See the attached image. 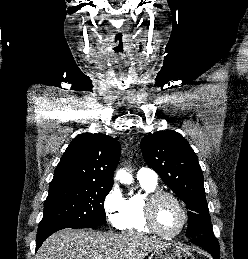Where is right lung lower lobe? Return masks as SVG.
I'll return each mask as SVG.
<instances>
[{
  "label": "right lung lower lobe",
  "mask_w": 248,
  "mask_h": 259,
  "mask_svg": "<svg viewBox=\"0 0 248 259\" xmlns=\"http://www.w3.org/2000/svg\"><path fill=\"white\" fill-rule=\"evenodd\" d=\"M64 229V227H57L52 229H46L42 231H38L36 238V250L41 246V244L54 232Z\"/></svg>",
  "instance_id": "right-lung-lower-lobe-1"
}]
</instances>
